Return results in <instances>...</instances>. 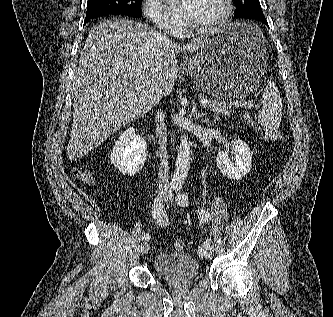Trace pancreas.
<instances>
[{
  "mask_svg": "<svg viewBox=\"0 0 333 317\" xmlns=\"http://www.w3.org/2000/svg\"><path fill=\"white\" fill-rule=\"evenodd\" d=\"M207 107L211 111L223 116H230L233 111L231 104L218 100H211V103H209Z\"/></svg>",
  "mask_w": 333,
  "mask_h": 317,
  "instance_id": "obj_1",
  "label": "pancreas"
}]
</instances>
